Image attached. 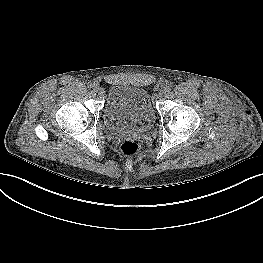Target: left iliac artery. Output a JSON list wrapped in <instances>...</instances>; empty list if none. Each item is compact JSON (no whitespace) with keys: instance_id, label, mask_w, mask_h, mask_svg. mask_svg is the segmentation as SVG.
Returning a JSON list of instances; mask_svg holds the SVG:
<instances>
[{"instance_id":"left-iliac-artery-1","label":"left iliac artery","mask_w":263,"mask_h":263,"mask_svg":"<svg viewBox=\"0 0 263 263\" xmlns=\"http://www.w3.org/2000/svg\"><path fill=\"white\" fill-rule=\"evenodd\" d=\"M165 89L167 92H169L171 90V88L169 86H167Z\"/></svg>"}]
</instances>
